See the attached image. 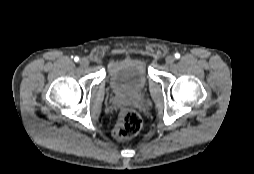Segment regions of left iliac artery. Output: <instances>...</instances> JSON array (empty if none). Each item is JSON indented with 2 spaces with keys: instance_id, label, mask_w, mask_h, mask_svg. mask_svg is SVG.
<instances>
[{
  "instance_id": "44dca946",
  "label": "left iliac artery",
  "mask_w": 254,
  "mask_h": 174,
  "mask_svg": "<svg viewBox=\"0 0 254 174\" xmlns=\"http://www.w3.org/2000/svg\"><path fill=\"white\" fill-rule=\"evenodd\" d=\"M175 58H180V54L179 53H175Z\"/></svg>"
}]
</instances>
